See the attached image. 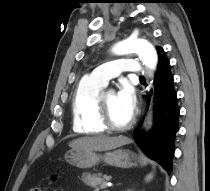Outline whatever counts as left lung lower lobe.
<instances>
[{"mask_svg": "<svg viewBox=\"0 0 210 191\" xmlns=\"http://www.w3.org/2000/svg\"><path fill=\"white\" fill-rule=\"evenodd\" d=\"M158 60L155 74L154 127L150 134L145 136L141 133L140 124L134 130L133 138L149 158L157 161L170 174L178 132L179 108L170 62L164 50L158 52Z\"/></svg>", "mask_w": 210, "mask_h": 191, "instance_id": "1", "label": "left lung lower lobe"}]
</instances>
